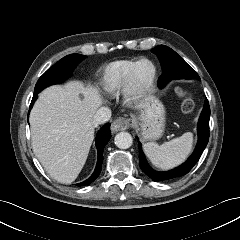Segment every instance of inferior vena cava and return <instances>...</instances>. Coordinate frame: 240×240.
<instances>
[{
	"mask_svg": "<svg viewBox=\"0 0 240 240\" xmlns=\"http://www.w3.org/2000/svg\"><path fill=\"white\" fill-rule=\"evenodd\" d=\"M111 118V110L108 107H100L94 115L93 124L98 126L99 124L106 123Z\"/></svg>",
	"mask_w": 240,
	"mask_h": 240,
	"instance_id": "inferior-vena-cava-1",
	"label": "inferior vena cava"
}]
</instances>
